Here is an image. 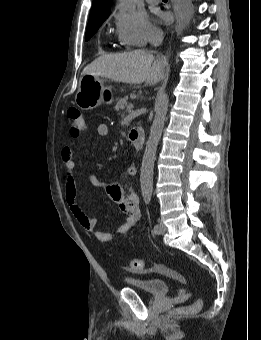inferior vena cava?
Listing matches in <instances>:
<instances>
[{
  "label": "inferior vena cava",
  "instance_id": "inferior-vena-cava-1",
  "mask_svg": "<svg viewBox=\"0 0 261 340\" xmlns=\"http://www.w3.org/2000/svg\"><path fill=\"white\" fill-rule=\"evenodd\" d=\"M163 42V32L161 30H155L150 36V43L157 47Z\"/></svg>",
  "mask_w": 261,
  "mask_h": 340
}]
</instances>
